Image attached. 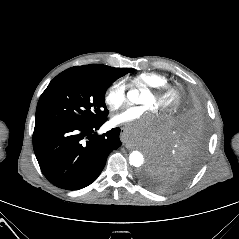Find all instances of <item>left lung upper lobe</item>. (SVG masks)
<instances>
[{
  "instance_id": "1",
  "label": "left lung upper lobe",
  "mask_w": 239,
  "mask_h": 239,
  "mask_svg": "<svg viewBox=\"0 0 239 239\" xmlns=\"http://www.w3.org/2000/svg\"><path fill=\"white\" fill-rule=\"evenodd\" d=\"M186 95H193L196 96L197 94L194 91H187ZM143 182L150 188L158 190V191H164L166 190V186L164 181L154 173H151L149 171H145L142 175Z\"/></svg>"
}]
</instances>
